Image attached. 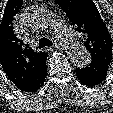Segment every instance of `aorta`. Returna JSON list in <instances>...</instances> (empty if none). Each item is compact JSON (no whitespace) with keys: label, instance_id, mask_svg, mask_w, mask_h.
Returning a JSON list of instances; mask_svg holds the SVG:
<instances>
[{"label":"aorta","instance_id":"aorta-1","mask_svg":"<svg viewBox=\"0 0 113 113\" xmlns=\"http://www.w3.org/2000/svg\"><path fill=\"white\" fill-rule=\"evenodd\" d=\"M72 64L79 68L87 66L91 62L90 52L83 45H72L69 51Z\"/></svg>","mask_w":113,"mask_h":113}]
</instances>
